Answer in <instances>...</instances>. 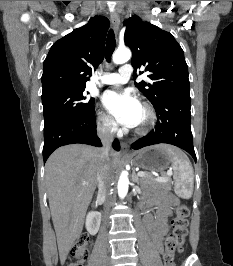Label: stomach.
<instances>
[{
  "instance_id": "stomach-1",
  "label": "stomach",
  "mask_w": 233,
  "mask_h": 266,
  "mask_svg": "<svg viewBox=\"0 0 233 266\" xmlns=\"http://www.w3.org/2000/svg\"><path fill=\"white\" fill-rule=\"evenodd\" d=\"M130 159L135 166L151 172H166V168L172 163V157L167 149L160 146L146 147L136 151Z\"/></svg>"
}]
</instances>
